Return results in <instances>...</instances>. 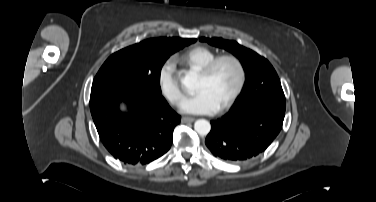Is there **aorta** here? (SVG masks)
Here are the masks:
<instances>
[{"instance_id":"1","label":"aorta","mask_w":376,"mask_h":202,"mask_svg":"<svg viewBox=\"0 0 376 202\" xmlns=\"http://www.w3.org/2000/svg\"><path fill=\"white\" fill-rule=\"evenodd\" d=\"M195 78L196 76L193 73H188L184 76V78H182L181 83L184 87H191ZM194 129L199 135L205 136L210 132L211 125L209 121L205 119H199L195 122Z\"/></svg>"}]
</instances>
